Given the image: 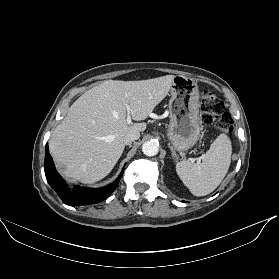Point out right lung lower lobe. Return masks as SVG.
Returning a JSON list of instances; mask_svg holds the SVG:
<instances>
[{
    "label": "right lung lower lobe",
    "instance_id": "98d812e1",
    "mask_svg": "<svg viewBox=\"0 0 279 279\" xmlns=\"http://www.w3.org/2000/svg\"><path fill=\"white\" fill-rule=\"evenodd\" d=\"M44 169L49 185L56 191L62 201L69 206L88 205L105 200L116 189L123 174L121 173L113 183L105 187L94 189L75 187L74 189H69L55 169L48 145H46Z\"/></svg>",
    "mask_w": 279,
    "mask_h": 279
}]
</instances>
